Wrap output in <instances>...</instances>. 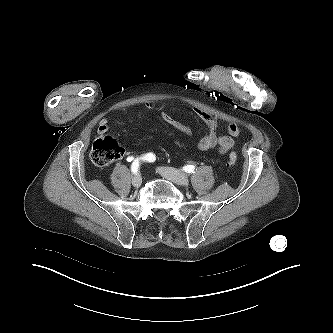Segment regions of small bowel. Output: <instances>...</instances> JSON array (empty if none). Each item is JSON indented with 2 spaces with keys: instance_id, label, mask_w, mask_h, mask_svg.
<instances>
[{
  "instance_id": "c3829d8e",
  "label": "small bowel",
  "mask_w": 333,
  "mask_h": 333,
  "mask_svg": "<svg viewBox=\"0 0 333 333\" xmlns=\"http://www.w3.org/2000/svg\"><path fill=\"white\" fill-rule=\"evenodd\" d=\"M145 106L159 114L166 123H168L183 135L187 137L192 136V131L188 126L180 123L167 112L166 104H158L156 102L150 101L147 102ZM194 111L196 115L205 123L208 129L207 133L200 139L198 143V148L201 151H208L215 148L216 146H219V153L222 155L226 154L234 147L236 140L243 134V129L239 125L231 123L226 128L227 135H220L218 134L217 119L212 114L197 108H195ZM108 130L109 120L108 118L104 117L99 122L97 133L98 135L102 136L106 134Z\"/></svg>"
}]
</instances>
